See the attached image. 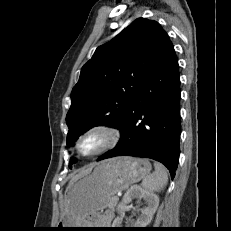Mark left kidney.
<instances>
[{
    "mask_svg": "<svg viewBox=\"0 0 231 231\" xmlns=\"http://www.w3.org/2000/svg\"><path fill=\"white\" fill-rule=\"evenodd\" d=\"M143 199L146 207L142 210V214L138 217L137 221L133 224L134 228H145L152 220L154 213L159 205L158 195L148 192L139 186H132L124 195L122 202L118 205V213L123 214L126 204L130 203L132 199ZM121 218L117 217L113 221V228H119Z\"/></svg>",
    "mask_w": 231,
    "mask_h": 231,
    "instance_id": "left-kidney-1",
    "label": "left kidney"
}]
</instances>
